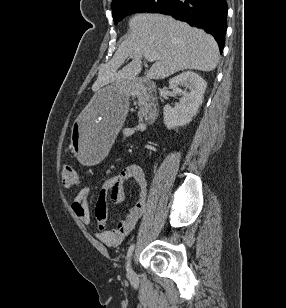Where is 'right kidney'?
Masks as SVG:
<instances>
[{"instance_id":"ca27d5eb","label":"right kidney","mask_w":286,"mask_h":308,"mask_svg":"<svg viewBox=\"0 0 286 308\" xmlns=\"http://www.w3.org/2000/svg\"><path fill=\"white\" fill-rule=\"evenodd\" d=\"M185 87L190 91L182 90ZM207 83L198 74L186 71L173 77L169 81V88L177 95H181L179 104L174 108L165 105L163 108L164 124L168 129L185 126L192 121L204 99Z\"/></svg>"}]
</instances>
